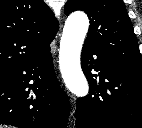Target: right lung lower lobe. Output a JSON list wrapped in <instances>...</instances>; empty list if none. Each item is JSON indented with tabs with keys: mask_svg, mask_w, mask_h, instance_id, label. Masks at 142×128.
Wrapping results in <instances>:
<instances>
[{
	"mask_svg": "<svg viewBox=\"0 0 142 128\" xmlns=\"http://www.w3.org/2000/svg\"><path fill=\"white\" fill-rule=\"evenodd\" d=\"M69 110L54 72L50 47L0 76V124L65 128Z\"/></svg>",
	"mask_w": 142,
	"mask_h": 128,
	"instance_id": "obj_1",
	"label": "right lung lower lobe"
}]
</instances>
